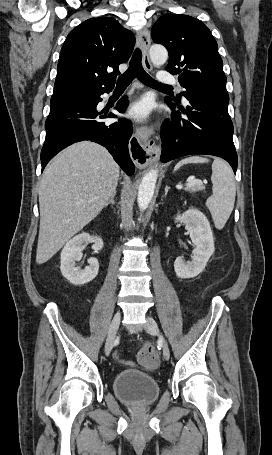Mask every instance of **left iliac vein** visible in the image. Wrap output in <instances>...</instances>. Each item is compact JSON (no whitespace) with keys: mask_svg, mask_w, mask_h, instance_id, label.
Returning <instances> with one entry per match:
<instances>
[{"mask_svg":"<svg viewBox=\"0 0 272 455\" xmlns=\"http://www.w3.org/2000/svg\"><path fill=\"white\" fill-rule=\"evenodd\" d=\"M146 331L151 334L158 335L160 338V341L162 343V349H163V357L165 360H169L170 358V350L167 341L165 338L161 335L159 327L157 323L155 322L154 319L151 317H147V323L145 327Z\"/></svg>","mask_w":272,"mask_h":455,"instance_id":"4c4485c4","label":"left iliac vein"}]
</instances>
